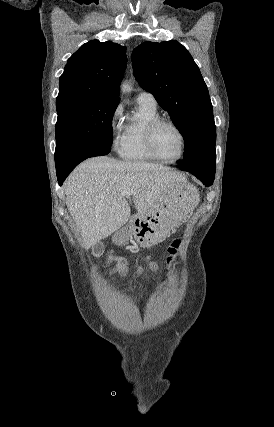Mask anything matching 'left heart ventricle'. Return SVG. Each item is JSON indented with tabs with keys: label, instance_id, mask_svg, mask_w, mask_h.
<instances>
[{
	"label": "left heart ventricle",
	"instance_id": "1",
	"mask_svg": "<svg viewBox=\"0 0 274 427\" xmlns=\"http://www.w3.org/2000/svg\"><path fill=\"white\" fill-rule=\"evenodd\" d=\"M155 146L167 160H175L181 153V139L178 132L169 125H161L155 134Z\"/></svg>",
	"mask_w": 274,
	"mask_h": 427
}]
</instances>
